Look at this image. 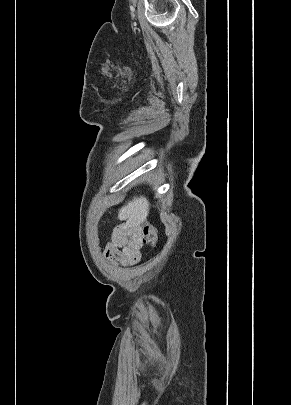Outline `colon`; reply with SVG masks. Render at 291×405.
<instances>
[{
	"mask_svg": "<svg viewBox=\"0 0 291 405\" xmlns=\"http://www.w3.org/2000/svg\"><path fill=\"white\" fill-rule=\"evenodd\" d=\"M141 238L143 243L154 246L157 243V231L153 225L145 224L141 227Z\"/></svg>",
	"mask_w": 291,
	"mask_h": 405,
	"instance_id": "colon-1",
	"label": "colon"
}]
</instances>
